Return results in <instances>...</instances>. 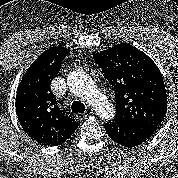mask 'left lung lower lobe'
I'll list each match as a JSON object with an SVG mask.
<instances>
[{
    "label": "left lung lower lobe",
    "mask_w": 178,
    "mask_h": 178,
    "mask_svg": "<svg viewBox=\"0 0 178 178\" xmlns=\"http://www.w3.org/2000/svg\"><path fill=\"white\" fill-rule=\"evenodd\" d=\"M104 128L114 142L132 148L146 142L159 126L114 118L107 122Z\"/></svg>",
    "instance_id": "0a47b994"
}]
</instances>
